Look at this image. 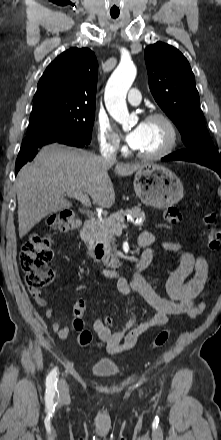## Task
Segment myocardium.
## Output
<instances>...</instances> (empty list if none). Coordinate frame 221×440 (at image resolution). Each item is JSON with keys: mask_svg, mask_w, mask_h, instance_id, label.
<instances>
[{"mask_svg": "<svg viewBox=\"0 0 221 440\" xmlns=\"http://www.w3.org/2000/svg\"><path fill=\"white\" fill-rule=\"evenodd\" d=\"M146 121H160L162 122L168 132V139L167 142L165 144V146L163 148H161L160 150L156 151V152H152V153H145V152H141V151H136V154L138 157L144 159V160H159L162 159L164 157H167L168 155H170L174 149L177 146V142H178V132H177V128L174 124V122L172 121V119L161 112H154L152 114H150Z\"/></svg>", "mask_w": 221, "mask_h": 440, "instance_id": "myocardium-1", "label": "myocardium"}]
</instances>
